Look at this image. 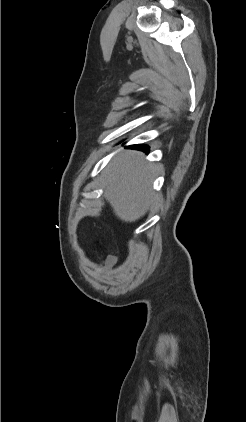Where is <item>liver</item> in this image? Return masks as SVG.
<instances>
[{"instance_id": "obj_1", "label": "liver", "mask_w": 246, "mask_h": 422, "mask_svg": "<svg viewBox=\"0 0 246 422\" xmlns=\"http://www.w3.org/2000/svg\"><path fill=\"white\" fill-rule=\"evenodd\" d=\"M143 159L140 152L123 151L105 172V197L115 215L125 222L140 219L156 202L151 183L157 167Z\"/></svg>"}]
</instances>
